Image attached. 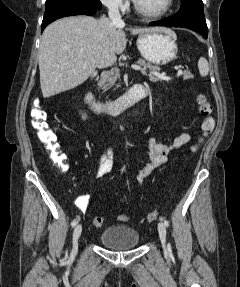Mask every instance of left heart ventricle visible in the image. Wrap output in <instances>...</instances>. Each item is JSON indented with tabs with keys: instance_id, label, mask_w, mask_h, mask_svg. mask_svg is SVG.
<instances>
[{
	"instance_id": "left-heart-ventricle-1",
	"label": "left heart ventricle",
	"mask_w": 240,
	"mask_h": 287,
	"mask_svg": "<svg viewBox=\"0 0 240 287\" xmlns=\"http://www.w3.org/2000/svg\"><path fill=\"white\" fill-rule=\"evenodd\" d=\"M137 3L147 10H159L163 7L165 0H136Z\"/></svg>"
}]
</instances>
